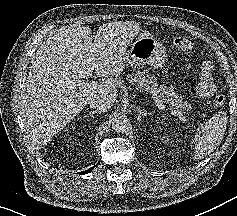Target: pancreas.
<instances>
[{
	"label": "pancreas",
	"instance_id": "obj_1",
	"mask_svg": "<svg viewBox=\"0 0 237 216\" xmlns=\"http://www.w3.org/2000/svg\"><path fill=\"white\" fill-rule=\"evenodd\" d=\"M151 76L147 77L144 73H138L133 79L132 83L138 88H147L151 94L158 100L167 99V102L171 103L175 108L184 111L188 108L189 103L186 99L182 98L179 94L174 91H166L162 86L155 88L153 84H150Z\"/></svg>",
	"mask_w": 237,
	"mask_h": 216
}]
</instances>
